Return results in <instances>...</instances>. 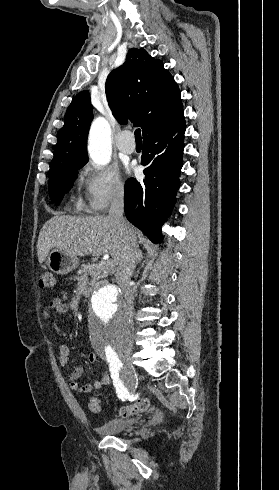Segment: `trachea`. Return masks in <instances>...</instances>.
<instances>
[{
	"label": "trachea",
	"instance_id": "1",
	"mask_svg": "<svg viewBox=\"0 0 279 490\" xmlns=\"http://www.w3.org/2000/svg\"><path fill=\"white\" fill-rule=\"evenodd\" d=\"M135 140H136V142L142 141L140 128H137V130H135Z\"/></svg>",
	"mask_w": 279,
	"mask_h": 490
}]
</instances>
